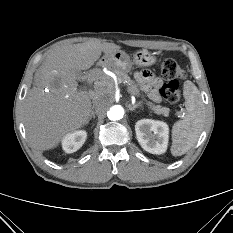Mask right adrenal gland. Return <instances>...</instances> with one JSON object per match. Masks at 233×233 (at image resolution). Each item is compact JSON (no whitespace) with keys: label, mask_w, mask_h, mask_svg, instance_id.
<instances>
[{"label":"right adrenal gland","mask_w":233,"mask_h":233,"mask_svg":"<svg viewBox=\"0 0 233 233\" xmlns=\"http://www.w3.org/2000/svg\"><path fill=\"white\" fill-rule=\"evenodd\" d=\"M92 118H93V119H95V112H94V111H92V112H91V115H90L89 121H90Z\"/></svg>","instance_id":"2a0ac1e0"}]
</instances>
